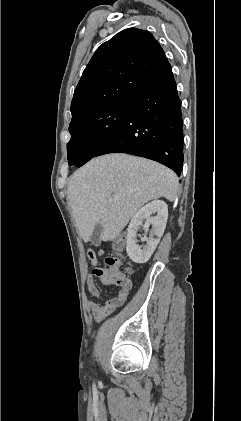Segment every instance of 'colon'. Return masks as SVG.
Here are the masks:
<instances>
[{
    "instance_id": "colon-1",
    "label": "colon",
    "mask_w": 241,
    "mask_h": 421,
    "mask_svg": "<svg viewBox=\"0 0 241 421\" xmlns=\"http://www.w3.org/2000/svg\"><path fill=\"white\" fill-rule=\"evenodd\" d=\"M114 253L104 259L102 267L95 270V274L101 280L110 282L116 285H125L128 278L122 269V261L120 258V251L124 246V237L120 236L112 243Z\"/></svg>"
}]
</instances>
